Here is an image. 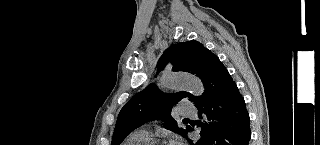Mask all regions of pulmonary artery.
<instances>
[{
	"label": "pulmonary artery",
	"instance_id": "obj_1",
	"mask_svg": "<svg viewBox=\"0 0 320 145\" xmlns=\"http://www.w3.org/2000/svg\"><path fill=\"white\" fill-rule=\"evenodd\" d=\"M178 113L181 116H194L197 113V109L195 107L186 106L185 102H181L178 107ZM137 131L148 135L149 137L151 135L150 131L146 127H141Z\"/></svg>",
	"mask_w": 320,
	"mask_h": 145
}]
</instances>
